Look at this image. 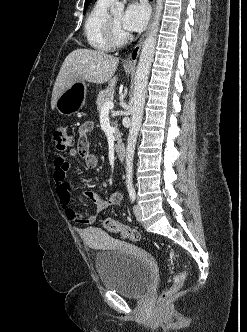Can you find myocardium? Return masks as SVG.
I'll use <instances>...</instances> for the list:
<instances>
[{
    "label": "myocardium",
    "instance_id": "obj_1",
    "mask_svg": "<svg viewBox=\"0 0 247 332\" xmlns=\"http://www.w3.org/2000/svg\"><path fill=\"white\" fill-rule=\"evenodd\" d=\"M103 32L105 39L107 40V42L110 44L111 47L124 46L131 40V35L129 34L123 37L117 35L110 13H108L105 19Z\"/></svg>",
    "mask_w": 247,
    "mask_h": 332
}]
</instances>
